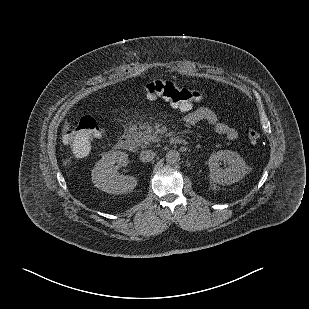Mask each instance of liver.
Returning <instances> with one entry per match:
<instances>
[{
    "label": "liver",
    "instance_id": "obj_1",
    "mask_svg": "<svg viewBox=\"0 0 309 309\" xmlns=\"http://www.w3.org/2000/svg\"><path fill=\"white\" fill-rule=\"evenodd\" d=\"M64 165L66 168H70L72 165V159L71 157L67 156L64 161H63Z\"/></svg>",
    "mask_w": 309,
    "mask_h": 309
}]
</instances>
